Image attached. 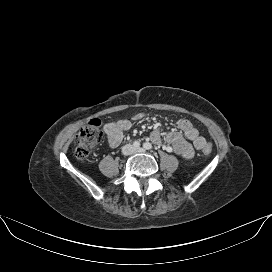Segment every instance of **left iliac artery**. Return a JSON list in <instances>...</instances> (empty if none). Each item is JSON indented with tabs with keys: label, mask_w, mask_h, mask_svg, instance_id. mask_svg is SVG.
<instances>
[{
	"label": "left iliac artery",
	"mask_w": 272,
	"mask_h": 272,
	"mask_svg": "<svg viewBox=\"0 0 272 272\" xmlns=\"http://www.w3.org/2000/svg\"><path fill=\"white\" fill-rule=\"evenodd\" d=\"M143 147H144L145 149H147V150L152 149V145H151L149 142L144 143V144H143Z\"/></svg>",
	"instance_id": "1"
}]
</instances>
